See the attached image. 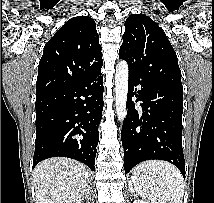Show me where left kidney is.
I'll return each instance as SVG.
<instances>
[{"label":"left kidney","mask_w":214,"mask_h":203,"mask_svg":"<svg viewBox=\"0 0 214 203\" xmlns=\"http://www.w3.org/2000/svg\"><path fill=\"white\" fill-rule=\"evenodd\" d=\"M133 203H146L145 201H143V200H139V199H136V200H134V202Z\"/></svg>","instance_id":"5707ae66"}]
</instances>
